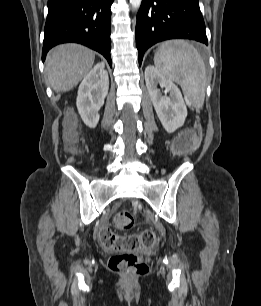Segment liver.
<instances>
[{"mask_svg":"<svg viewBox=\"0 0 261 306\" xmlns=\"http://www.w3.org/2000/svg\"><path fill=\"white\" fill-rule=\"evenodd\" d=\"M95 54L77 44L59 45L52 49L46 60V73L52 89L69 91L88 74Z\"/></svg>","mask_w":261,"mask_h":306,"instance_id":"obj_1","label":"liver"}]
</instances>
